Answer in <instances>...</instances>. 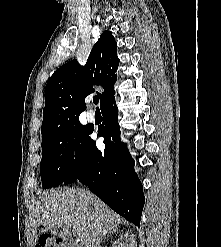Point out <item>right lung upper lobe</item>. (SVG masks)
<instances>
[{"mask_svg": "<svg viewBox=\"0 0 221 247\" xmlns=\"http://www.w3.org/2000/svg\"><path fill=\"white\" fill-rule=\"evenodd\" d=\"M118 65L117 43L111 32L104 31L85 66L72 60L56 70L45 87L42 137L79 122V115L86 108L84 99L94 91L93 86L104 89L102 94L98 93L101 107L114 98Z\"/></svg>", "mask_w": 221, "mask_h": 247, "instance_id": "cb5924a9", "label": "right lung upper lobe"}]
</instances>
